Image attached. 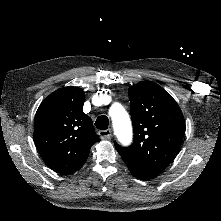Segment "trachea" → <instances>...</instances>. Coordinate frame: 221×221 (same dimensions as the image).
<instances>
[{"label":"trachea","mask_w":221,"mask_h":221,"mask_svg":"<svg viewBox=\"0 0 221 221\" xmlns=\"http://www.w3.org/2000/svg\"><path fill=\"white\" fill-rule=\"evenodd\" d=\"M109 125V119L105 115H101L95 121V126L100 130H106Z\"/></svg>","instance_id":"3493384b"}]
</instances>
